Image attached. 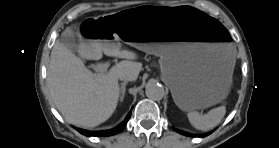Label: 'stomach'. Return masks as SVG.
<instances>
[{"instance_id":"1","label":"stomach","mask_w":279,"mask_h":148,"mask_svg":"<svg viewBox=\"0 0 279 148\" xmlns=\"http://www.w3.org/2000/svg\"><path fill=\"white\" fill-rule=\"evenodd\" d=\"M80 35L89 44L123 41L159 56L162 80L183 111L210 107L229 93L237 43L227 27L199 9L133 5L125 12L87 17Z\"/></svg>"}]
</instances>
